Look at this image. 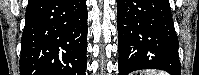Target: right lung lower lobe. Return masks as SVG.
I'll return each mask as SVG.
<instances>
[{
  "instance_id": "right-lung-lower-lobe-1",
  "label": "right lung lower lobe",
  "mask_w": 199,
  "mask_h": 75,
  "mask_svg": "<svg viewBox=\"0 0 199 75\" xmlns=\"http://www.w3.org/2000/svg\"><path fill=\"white\" fill-rule=\"evenodd\" d=\"M86 0H29L21 40V75H85Z\"/></svg>"
}]
</instances>
